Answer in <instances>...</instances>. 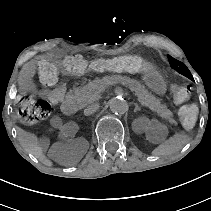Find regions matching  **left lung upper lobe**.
Returning <instances> with one entry per match:
<instances>
[{
    "label": "left lung upper lobe",
    "mask_w": 211,
    "mask_h": 211,
    "mask_svg": "<svg viewBox=\"0 0 211 211\" xmlns=\"http://www.w3.org/2000/svg\"><path fill=\"white\" fill-rule=\"evenodd\" d=\"M168 59H169V63L171 65V68L177 70L180 74H182V75L186 76L187 78L193 80V76H192L191 72L189 71V69L187 68V66L184 63L174 59L173 57H171L169 55H168Z\"/></svg>",
    "instance_id": "5c2ea615"
}]
</instances>
